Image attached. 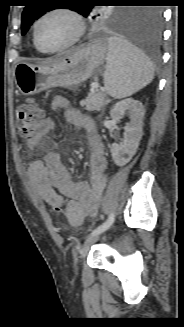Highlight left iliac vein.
<instances>
[{
  "mask_svg": "<svg viewBox=\"0 0 184 327\" xmlns=\"http://www.w3.org/2000/svg\"><path fill=\"white\" fill-rule=\"evenodd\" d=\"M100 234L101 233L92 235L84 242L80 251L81 258H84L90 250L91 246L99 240Z\"/></svg>",
  "mask_w": 184,
  "mask_h": 327,
  "instance_id": "left-iliac-vein-1",
  "label": "left iliac vein"
}]
</instances>
